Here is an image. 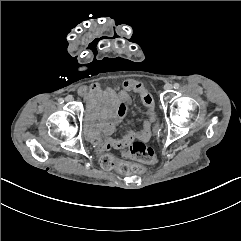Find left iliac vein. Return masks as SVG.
Masks as SVG:
<instances>
[{"label": "left iliac vein", "instance_id": "obj_1", "mask_svg": "<svg viewBox=\"0 0 241 241\" xmlns=\"http://www.w3.org/2000/svg\"><path fill=\"white\" fill-rule=\"evenodd\" d=\"M172 88H173V86L170 83H167L164 85V90H166V91H170Z\"/></svg>", "mask_w": 241, "mask_h": 241}]
</instances>
